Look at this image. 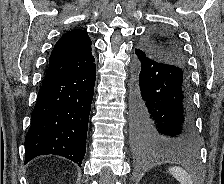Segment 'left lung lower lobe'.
Here are the masks:
<instances>
[{"label":"left lung lower lobe","instance_id":"0a47b994","mask_svg":"<svg viewBox=\"0 0 224 184\" xmlns=\"http://www.w3.org/2000/svg\"><path fill=\"white\" fill-rule=\"evenodd\" d=\"M132 84L133 142L138 151L193 154L191 93L185 69L135 49Z\"/></svg>","mask_w":224,"mask_h":184}]
</instances>
